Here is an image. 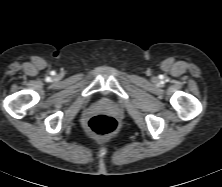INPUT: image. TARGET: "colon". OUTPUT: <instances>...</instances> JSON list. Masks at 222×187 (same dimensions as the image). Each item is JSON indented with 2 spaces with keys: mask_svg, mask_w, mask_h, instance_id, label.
<instances>
[{
  "mask_svg": "<svg viewBox=\"0 0 222 187\" xmlns=\"http://www.w3.org/2000/svg\"><path fill=\"white\" fill-rule=\"evenodd\" d=\"M117 128L114 117L98 114L91 117L87 122L88 131L94 136L103 137L112 134Z\"/></svg>",
  "mask_w": 222,
  "mask_h": 187,
  "instance_id": "5ec220e1",
  "label": "colon"
}]
</instances>
